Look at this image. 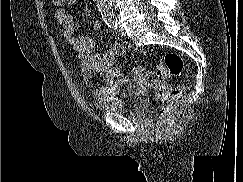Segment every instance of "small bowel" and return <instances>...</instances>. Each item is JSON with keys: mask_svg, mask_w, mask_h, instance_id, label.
Wrapping results in <instances>:
<instances>
[{"mask_svg": "<svg viewBox=\"0 0 243 182\" xmlns=\"http://www.w3.org/2000/svg\"><path fill=\"white\" fill-rule=\"evenodd\" d=\"M76 0H71L70 3ZM57 22L64 29V36L73 48L76 58L79 60L80 72L87 87L92 86V77L95 74H103L102 86L93 91L95 97H111L121 90L125 92L136 91L140 84L127 79L123 74L113 68V62L124 53V47L119 43L111 44L104 52L93 53L94 42L92 38L74 33V18L65 9L55 11ZM102 28L100 21L93 23V29L99 31Z\"/></svg>", "mask_w": 243, "mask_h": 182, "instance_id": "small-bowel-1", "label": "small bowel"}]
</instances>
